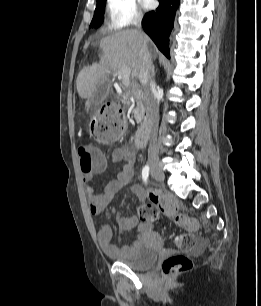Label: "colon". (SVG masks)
I'll return each mask as SVG.
<instances>
[{
  "label": "colon",
  "instance_id": "5ec220e1",
  "mask_svg": "<svg viewBox=\"0 0 261 306\" xmlns=\"http://www.w3.org/2000/svg\"><path fill=\"white\" fill-rule=\"evenodd\" d=\"M107 109L112 117V121L107 123L105 120L98 119L94 122L91 134L93 138L100 142H109L120 138L123 133V119L119 108L110 103ZM80 164L82 171H91L104 159L101 153H93L88 144L80 145L79 149ZM159 210L173 218L180 226L186 228L189 233L179 234L174 239V247L178 253L168 256L161 265V272L165 276L176 275L192 269V261L182 254L193 250L196 240L192 232L196 229V221L188 215L178 212L175 201L166 197L160 192L153 191L150 195V202L138 207L137 213L142 221H155L159 216Z\"/></svg>",
  "mask_w": 261,
  "mask_h": 306
}]
</instances>
